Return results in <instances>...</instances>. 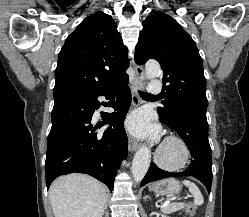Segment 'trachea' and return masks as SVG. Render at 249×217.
I'll use <instances>...</instances> for the list:
<instances>
[{"label": "trachea", "instance_id": "1", "mask_svg": "<svg viewBox=\"0 0 249 217\" xmlns=\"http://www.w3.org/2000/svg\"><path fill=\"white\" fill-rule=\"evenodd\" d=\"M140 95H141L142 97H151V96H153L152 94L145 93V92H140Z\"/></svg>", "mask_w": 249, "mask_h": 217}]
</instances>
